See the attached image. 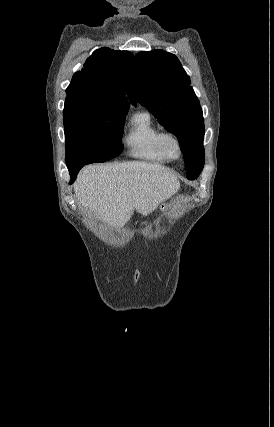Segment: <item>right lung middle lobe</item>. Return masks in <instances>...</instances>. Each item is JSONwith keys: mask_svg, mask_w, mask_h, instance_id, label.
<instances>
[{"mask_svg": "<svg viewBox=\"0 0 274 427\" xmlns=\"http://www.w3.org/2000/svg\"><path fill=\"white\" fill-rule=\"evenodd\" d=\"M129 107L82 105L64 109L66 164L104 162L122 151V121Z\"/></svg>", "mask_w": 274, "mask_h": 427, "instance_id": "obj_1", "label": "right lung middle lobe"}]
</instances>
